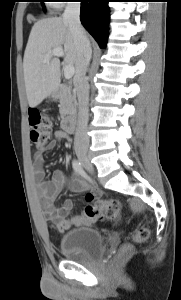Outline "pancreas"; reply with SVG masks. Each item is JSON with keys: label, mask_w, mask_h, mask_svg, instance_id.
<instances>
[{"label": "pancreas", "mask_w": 181, "mask_h": 300, "mask_svg": "<svg viewBox=\"0 0 181 300\" xmlns=\"http://www.w3.org/2000/svg\"><path fill=\"white\" fill-rule=\"evenodd\" d=\"M59 97V112L61 117L71 115L76 109V96L70 87H63L58 92Z\"/></svg>", "instance_id": "pancreas-1"}]
</instances>
